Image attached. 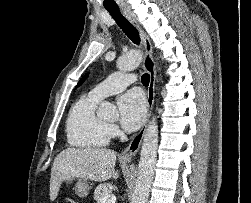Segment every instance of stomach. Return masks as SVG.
Instances as JSON below:
<instances>
[{
	"instance_id": "obj_1",
	"label": "stomach",
	"mask_w": 251,
	"mask_h": 203,
	"mask_svg": "<svg viewBox=\"0 0 251 203\" xmlns=\"http://www.w3.org/2000/svg\"><path fill=\"white\" fill-rule=\"evenodd\" d=\"M76 177H68L66 178L63 182L68 185L71 184ZM75 192L76 194L81 197V198H85L88 196L89 194V190H90V185L87 179L85 178H77V182L75 184Z\"/></svg>"
}]
</instances>
